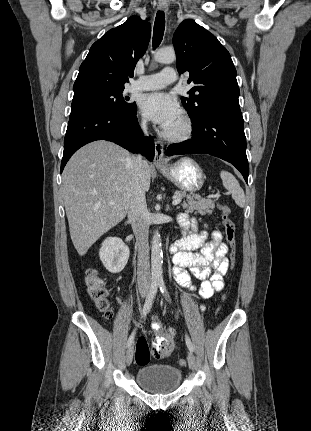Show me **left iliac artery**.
I'll list each match as a JSON object with an SVG mask.
<instances>
[{"label":"left iliac artery","instance_id":"obj_1","mask_svg":"<svg viewBox=\"0 0 311 431\" xmlns=\"http://www.w3.org/2000/svg\"><path fill=\"white\" fill-rule=\"evenodd\" d=\"M159 288H160V291L166 297V299L168 301H170V298H169V295H168V292H167V289H166V286H165L164 282H160L159 283ZM185 341H186V345H187L188 349L190 350V352H193L194 351L193 344H192L190 338L187 335L185 336Z\"/></svg>","mask_w":311,"mask_h":431}]
</instances>
